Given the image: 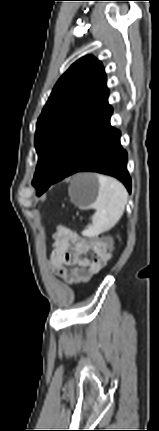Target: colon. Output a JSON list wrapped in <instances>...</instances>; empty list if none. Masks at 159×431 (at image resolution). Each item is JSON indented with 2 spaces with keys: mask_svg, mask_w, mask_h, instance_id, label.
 Here are the masks:
<instances>
[{
  "mask_svg": "<svg viewBox=\"0 0 159 431\" xmlns=\"http://www.w3.org/2000/svg\"><path fill=\"white\" fill-rule=\"evenodd\" d=\"M101 241L104 240L107 243V248H109L110 250H112L113 248V241L110 237H103L102 235H97V237L95 238V241Z\"/></svg>",
  "mask_w": 159,
  "mask_h": 431,
  "instance_id": "1",
  "label": "colon"
}]
</instances>
